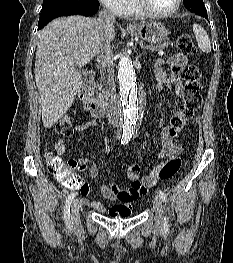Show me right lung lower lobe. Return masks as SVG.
<instances>
[{"instance_id": "1", "label": "right lung lower lobe", "mask_w": 233, "mask_h": 263, "mask_svg": "<svg viewBox=\"0 0 233 263\" xmlns=\"http://www.w3.org/2000/svg\"><path fill=\"white\" fill-rule=\"evenodd\" d=\"M98 9H99V6L90 5L88 3H83L71 15L80 14V15H85V16H92L98 11ZM47 23L48 22L39 23L38 30L42 29Z\"/></svg>"}]
</instances>
